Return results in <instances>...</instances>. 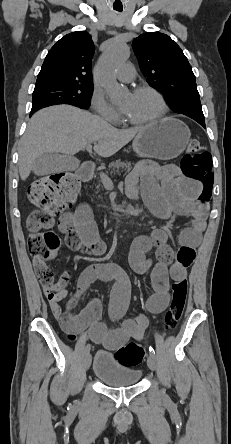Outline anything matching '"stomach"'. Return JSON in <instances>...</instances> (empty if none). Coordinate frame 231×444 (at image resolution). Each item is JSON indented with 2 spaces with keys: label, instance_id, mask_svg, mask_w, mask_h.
<instances>
[{
  "label": "stomach",
  "instance_id": "stomach-1",
  "mask_svg": "<svg viewBox=\"0 0 231 444\" xmlns=\"http://www.w3.org/2000/svg\"><path fill=\"white\" fill-rule=\"evenodd\" d=\"M190 130L182 121L168 117L150 124L133 140L134 152L147 158L170 160L179 156L190 140Z\"/></svg>",
  "mask_w": 231,
  "mask_h": 444
}]
</instances>
